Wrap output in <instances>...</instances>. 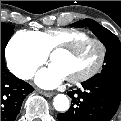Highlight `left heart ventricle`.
<instances>
[{
    "instance_id": "obj_1",
    "label": "left heart ventricle",
    "mask_w": 121,
    "mask_h": 121,
    "mask_svg": "<svg viewBox=\"0 0 121 121\" xmlns=\"http://www.w3.org/2000/svg\"><path fill=\"white\" fill-rule=\"evenodd\" d=\"M98 56V46L87 44L81 52L76 54L70 55L64 52L54 54L51 58V64L60 70L67 79L87 71L97 62Z\"/></svg>"
}]
</instances>
